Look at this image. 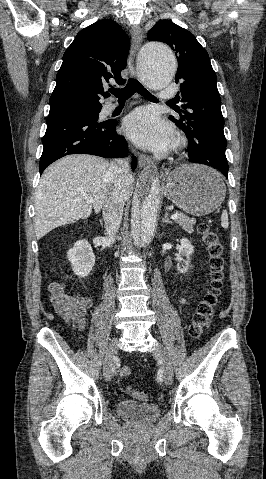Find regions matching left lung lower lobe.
Segmentation results:
<instances>
[{
    "instance_id": "obj_1",
    "label": "left lung lower lobe",
    "mask_w": 266,
    "mask_h": 479,
    "mask_svg": "<svg viewBox=\"0 0 266 479\" xmlns=\"http://www.w3.org/2000/svg\"><path fill=\"white\" fill-rule=\"evenodd\" d=\"M189 161H191V160L189 159ZM191 162H193V161H191ZM194 163H196V162H194ZM212 167L220 170L224 174L225 177H228V165L217 163V164H214V166H212Z\"/></svg>"
}]
</instances>
